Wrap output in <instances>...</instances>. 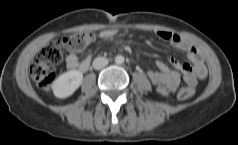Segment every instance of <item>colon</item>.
Instances as JSON below:
<instances>
[{"label": "colon", "instance_id": "colon-1", "mask_svg": "<svg viewBox=\"0 0 238 145\" xmlns=\"http://www.w3.org/2000/svg\"><path fill=\"white\" fill-rule=\"evenodd\" d=\"M94 40V34L81 32L68 35L61 40L53 41L43 47L30 66V76L36 86L49 90L55 79V66L62 60L63 50L80 52ZM192 87H183L178 92L180 100L189 99L194 95Z\"/></svg>", "mask_w": 238, "mask_h": 145}]
</instances>
